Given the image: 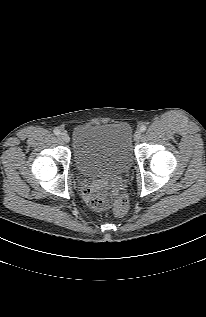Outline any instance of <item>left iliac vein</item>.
<instances>
[{
  "label": "left iliac vein",
  "instance_id": "left-iliac-vein-1",
  "mask_svg": "<svg viewBox=\"0 0 206 317\" xmlns=\"http://www.w3.org/2000/svg\"><path fill=\"white\" fill-rule=\"evenodd\" d=\"M141 136H142L141 131H140V130H137V131L135 132V134H134V139H135L136 141H138V140H140Z\"/></svg>",
  "mask_w": 206,
  "mask_h": 317
}]
</instances>
